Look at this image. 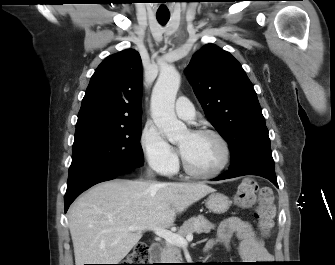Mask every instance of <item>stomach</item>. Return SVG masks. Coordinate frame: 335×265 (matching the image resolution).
Here are the masks:
<instances>
[{
	"mask_svg": "<svg viewBox=\"0 0 335 265\" xmlns=\"http://www.w3.org/2000/svg\"><path fill=\"white\" fill-rule=\"evenodd\" d=\"M231 205V201L225 194L212 192L207 200L206 207L215 214L225 213Z\"/></svg>",
	"mask_w": 335,
	"mask_h": 265,
	"instance_id": "1",
	"label": "stomach"
}]
</instances>
